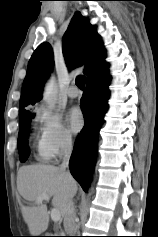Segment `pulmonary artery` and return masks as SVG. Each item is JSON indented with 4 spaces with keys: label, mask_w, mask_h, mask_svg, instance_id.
<instances>
[{
    "label": "pulmonary artery",
    "mask_w": 158,
    "mask_h": 237,
    "mask_svg": "<svg viewBox=\"0 0 158 237\" xmlns=\"http://www.w3.org/2000/svg\"><path fill=\"white\" fill-rule=\"evenodd\" d=\"M67 95L70 97V98H77L79 96V92L77 90H75L74 87H70L68 90H67Z\"/></svg>",
    "instance_id": "e3ab8cb5"
}]
</instances>
